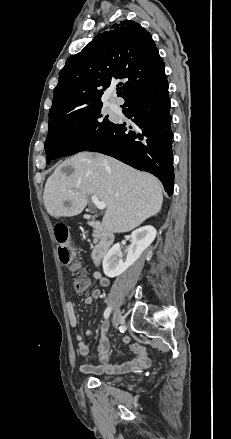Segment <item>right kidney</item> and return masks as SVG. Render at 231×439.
<instances>
[{
    "label": "right kidney",
    "mask_w": 231,
    "mask_h": 439,
    "mask_svg": "<svg viewBox=\"0 0 231 439\" xmlns=\"http://www.w3.org/2000/svg\"><path fill=\"white\" fill-rule=\"evenodd\" d=\"M156 234V229L150 225L134 230L131 234V245L128 248L125 262L122 259L120 244L113 245L103 259L104 274L107 277L113 278L125 272L137 261L143 251L151 245Z\"/></svg>",
    "instance_id": "right-kidney-1"
}]
</instances>
